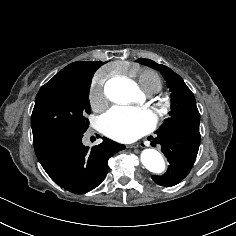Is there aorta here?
Masks as SVG:
<instances>
[{
  "mask_svg": "<svg viewBox=\"0 0 236 236\" xmlns=\"http://www.w3.org/2000/svg\"><path fill=\"white\" fill-rule=\"evenodd\" d=\"M107 97L117 103L131 102L137 93L136 85L125 78H118L106 84ZM141 162L152 173L161 174L165 170L162 155L155 149L147 148L141 153Z\"/></svg>",
  "mask_w": 236,
  "mask_h": 236,
  "instance_id": "obj_1",
  "label": "aorta"
}]
</instances>
